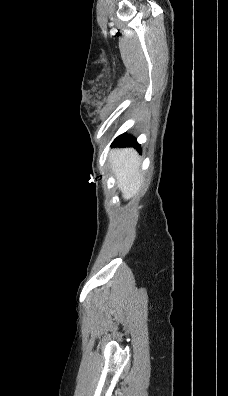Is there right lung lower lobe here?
Returning a JSON list of instances; mask_svg holds the SVG:
<instances>
[{
  "instance_id": "obj_1",
  "label": "right lung lower lobe",
  "mask_w": 228,
  "mask_h": 396,
  "mask_svg": "<svg viewBox=\"0 0 228 396\" xmlns=\"http://www.w3.org/2000/svg\"><path fill=\"white\" fill-rule=\"evenodd\" d=\"M114 146H133L140 150V145L136 142V139L127 134L118 136L112 143Z\"/></svg>"
}]
</instances>
